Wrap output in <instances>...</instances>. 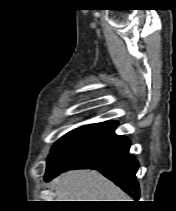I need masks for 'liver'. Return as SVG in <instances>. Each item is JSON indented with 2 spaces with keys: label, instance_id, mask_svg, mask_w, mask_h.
I'll return each instance as SVG.
<instances>
[{
  "label": "liver",
  "instance_id": "6515ba94",
  "mask_svg": "<svg viewBox=\"0 0 176 211\" xmlns=\"http://www.w3.org/2000/svg\"><path fill=\"white\" fill-rule=\"evenodd\" d=\"M57 201H129L119 187L97 171H69L53 180Z\"/></svg>",
  "mask_w": 176,
  "mask_h": 211
}]
</instances>
